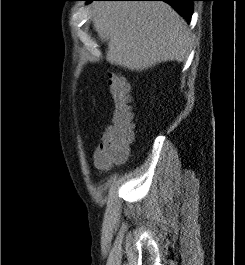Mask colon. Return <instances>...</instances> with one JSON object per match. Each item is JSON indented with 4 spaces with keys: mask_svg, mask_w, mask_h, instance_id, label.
<instances>
[{
    "mask_svg": "<svg viewBox=\"0 0 245 265\" xmlns=\"http://www.w3.org/2000/svg\"><path fill=\"white\" fill-rule=\"evenodd\" d=\"M108 87L114 104L112 117L95 151L97 162L104 168L124 162L134 139L133 113L127 81L121 74L112 72L108 78Z\"/></svg>",
    "mask_w": 245,
    "mask_h": 265,
    "instance_id": "1",
    "label": "colon"
}]
</instances>
